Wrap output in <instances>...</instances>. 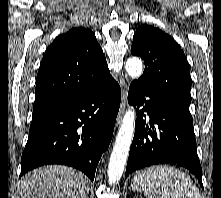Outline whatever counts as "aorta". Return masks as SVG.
<instances>
[{
  "label": "aorta",
  "instance_id": "aorta-1",
  "mask_svg": "<svg viewBox=\"0 0 221 198\" xmlns=\"http://www.w3.org/2000/svg\"><path fill=\"white\" fill-rule=\"evenodd\" d=\"M125 68L130 77L137 79L143 73L142 60L138 57H131L127 60ZM134 123L135 110L133 107H129L123 117L122 125L116 136L115 145L110 156L108 166V181L110 184L117 183L123 174L133 139Z\"/></svg>",
  "mask_w": 221,
  "mask_h": 198
}]
</instances>
